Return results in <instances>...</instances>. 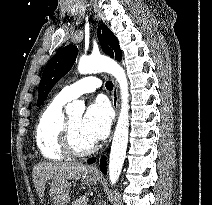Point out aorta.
Segmentation results:
<instances>
[{"label":"aorta","mask_w":212,"mask_h":205,"mask_svg":"<svg viewBox=\"0 0 212 205\" xmlns=\"http://www.w3.org/2000/svg\"><path fill=\"white\" fill-rule=\"evenodd\" d=\"M80 74L107 72L115 77L121 94V110L115 128L109 156L108 174L112 185L116 184L122 171L126 156L129 134V92L128 80L124 69L113 59L106 56L81 57L78 63ZM83 106L80 103L68 105V111H79Z\"/></svg>","instance_id":"aorta-1"}]
</instances>
